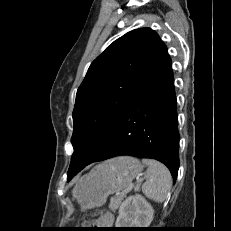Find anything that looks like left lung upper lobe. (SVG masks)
Here are the masks:
<instances>
[{"mask_svg": "<svg viewBox=\"0 0 231 231\" xmlns=\"http://www.w3.org/2000/svg\"><path fill=\"white\" fill-rule=\"evenodd\" d=\"M164 48L154 30L141 28L118 38L92 62L76 95L68 175L85 167Z\"/></svg>", "mask_w": 231, "mask_h": 231, "instance_id": "obj_1", "label": "left lung upper lobe"}]
</instances>
